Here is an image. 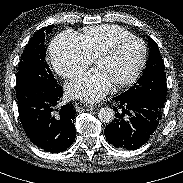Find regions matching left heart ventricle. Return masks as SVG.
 I'll use <instances>...</instances> for the list:
<instances>
[{
  "label": "left heart ventricle",
  "mask_w": 183,
  "mask_h": 183,
  "mask_svg": "<svg viewBox=\"0 0 183 183\" xmlns=\"http://www.w3.org/2000/svg\"><path fill=\"white\" fill-rule=\"evenodd\" d=\"M142 57V46L137 41L122 44L117 51L98 60L95 68L101 69L112 84L128 78L137 68Z\"/></svg>",
  "instance_id": "1"
}]
</instances>
